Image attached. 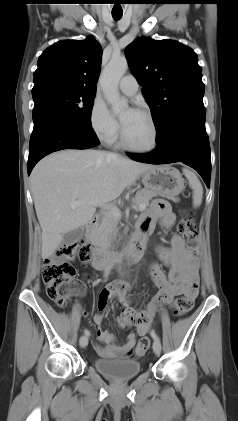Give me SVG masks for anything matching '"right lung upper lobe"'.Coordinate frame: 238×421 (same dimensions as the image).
<instances>
[{
  "instance_id": "cb5924a9",
  "label": "right lung upper lobe",
  "mask_w": 238,
  "mask_h": 421,
  "mask_svg": "<svg viewBox=\"0 0 238 421\" xmlns=\"http://www.w3.org/2000/svg\"><path fill=\"white\" fill-rule=\"evenodd\" d=\"M102 48L94 37L84 41L62 40L48 47L38 59L34 86L60 83L96 91Z\"/></svg>"
}]
</instances>
